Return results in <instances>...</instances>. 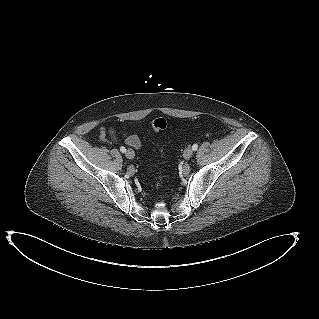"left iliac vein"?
<instances>
[{
	"instance_id": "1",
	"label": "left iliac vein",
	"mask_w": 319,
	"mask_h": 319,
	"mask_svg": "<svg viewBox=\"0 0 319 319\" xmlns=\"http://www.w3.org/2000/svg\"><path fill=\"white\" fill-rule=\"evenodd\" d=\"M192 155H193V149L186 148L184 150L183 156H184L185 159H190L192 157Z\"/></svg>"
}]
</instances>
